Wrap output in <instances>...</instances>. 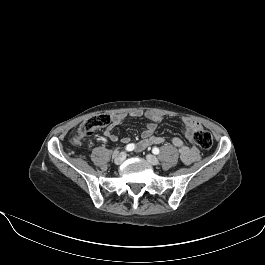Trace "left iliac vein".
Wrapping results in <instances>:
<instances>
[{
	"label": "left iliac vein",
	"instance_id": "obj_1",
	"mask_svg": "<svg viewBox=\"0 0 265 265\" xmlns=\"http://www.w3.org/2000/svg\"><path fill=\"white\" fill-rule=\"evenodd\" d=\"M146 159L152 165H158L159 164L158 158L152 154H147Z\"/></svg>",
	"mask_w": 265,
	"mask_h": 265
}]
</instances>
